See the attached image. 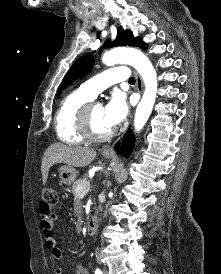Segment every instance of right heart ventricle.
I'll return each mask as SVG.
<instances>
[{
  "instance_id": "right-heart-ventricle-1",
  "label": "right heart ventricle",
  "mask_w": 221,
  "mask_h": 274,
  "mask_svg": "<svg viewBox=\"0 0 221 274\" xmlns=\"http://www.w3.org/2000/svg\"><path fill=\"white\" fill-rule=\"evenodd\" d=\"M92 100L93 97L81 88L62 99L55 115V132L60 141L73 145L85 141L79 130L78 117L82 107Z\"/></svg>"
}]
</instances>
